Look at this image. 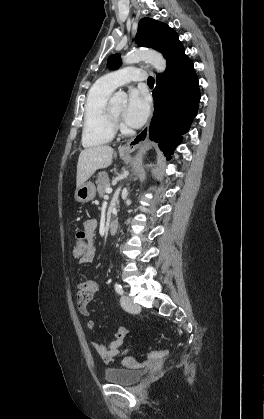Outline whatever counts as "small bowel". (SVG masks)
Instances as JSON below:
<instances>
[{
    "label": "small bowel",
    "instance_id": "c3829d8e",
    "mask_svg": "<svg viewBox=\"0 0 264 419\" xmlns=\"http://www.w3.org/2000/svg\"><path fill=\"white\" fill-rule=\"evenodd\" d=\"M84 230L87 233L90 244L87 253L79 259L80 264L90 263L95 257V246L94 239L97 230V221L95 219H88L84 222ZM96 283L93 280L81 281L77 284V306L80 314L84 317L90 315L88 310V303L93 297L96 291ZM86 327L89 330L94 329L95 321L88 320ZM127 329L124 327H118L114 334L112 340L108 344H103L100 342H92L93 348L100 355L102 361L105 364H110L115 361L116 357L121 352V347L124 343V339L127 335Z\"/></svg>",
    "mask_w": 264,
    "mask_h": 419
}]
</instances>
